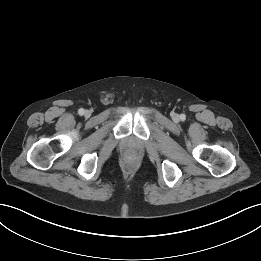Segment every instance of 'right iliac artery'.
Returning <instances> with one entry per match:
<instances>
[{
	"mask_svg": "<svg viewBox=\"0 0 261 261\" xmlns=\"http://www.w3.org/2000/svg\"><path fill=\"white\" fill-rule=\"evenodd\" d=\"M84 112H85V111H84V109H82V108H80L79 111H78L79 115H83Z\"/></svg>",
	"mask_w": 261,
	"mask_h": 261,
	"instance_id": "obj_1",
	"label": "right iliac artery"
}]
</instances>
